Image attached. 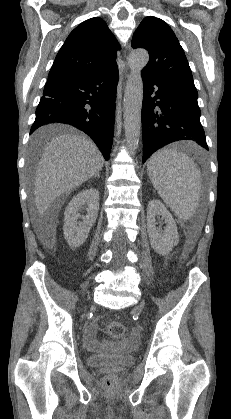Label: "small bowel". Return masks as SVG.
<instances>
[{
  "mask_svg": "<svg viewBox=\"0 0 231 419\" xmlns=\"http://www.w3.org/2000/svg\"><path fill=\"white\" fill-rule=\"evenodd\" d=\"M98 324L97 322H92L86 328L84 337H85V345L88 349L94 350L97 348L98 342L96 340V333L98 332ZM137 341L135 336L130 337L128 342L135 343Z\"/></svg>",
  "mask_w": 231,
  "mask_h": 419,
  "instance_id": "small-bowel-1",
  "label": "small bowel"
}]
</instances>
